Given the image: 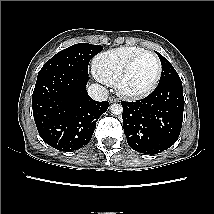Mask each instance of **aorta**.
Listing matches in <instances>:
<instances>
[{
  "label": "aorta",
  "instance_id": "762f6f07",
  "mask_svg": "<svg viewBox=\"0 0 214 214\" xmlns=\"http://www.w3.org/2000/svg\"><path fill=\"white\" fill-rule=\"evenodd\" d=\"M110 110H111L112 114L119 115L122 113L123 107L120 104L115 103V104L111 105Z\"/></svg>",
  "mask_w": 214,
  "mask_h": 214
}]
</instances>
